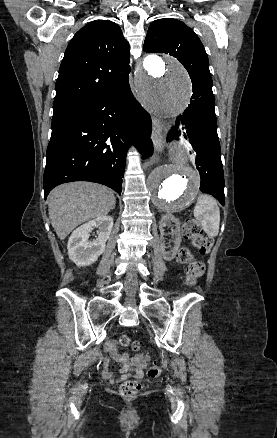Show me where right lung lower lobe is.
Returning <instances> with one entry per match:
<instances>
[{
	"label": "right lung lower lobe",
	"mask_w": 277,
	"mask_h": 438,
	"mask_svg": "<svg viewBox=\"0 0 277 438\" xmlns=\"http://www.w3.org/2000/svg\"><path fill=\"white\" fill-rule=\"evenodd\" d=\"M69 67L94 69L83 64ZM51 127L43 177L45 199L55 186L71 181L97 182L120 194L131 140L136 139L144 157L153 151L150 115L134 98L128 77L72 105L52 119Z\"/></svg>",
	"instance_id": "98d812e1"
}]
</instances>
